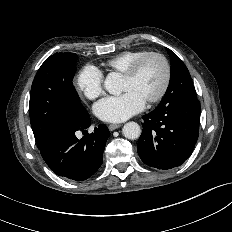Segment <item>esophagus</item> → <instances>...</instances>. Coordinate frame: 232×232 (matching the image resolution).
<instances>
[{
    "label": "esophagus",
    "instance_id": "34e87169",
    "mask_svg": "<svg viewBox=\"0 0 232 232\" xmlns=\"http://www.w3.org/2000/svg\"><path fill=\"white\" fill-rule=\"evenodd\" d=\"M121 125L120 124H110L108 126L110 131H114L115 129L119 128Z\"/></svg>",
    "mask_w": 232,
    "mask_h": 232
}]
</instances>
